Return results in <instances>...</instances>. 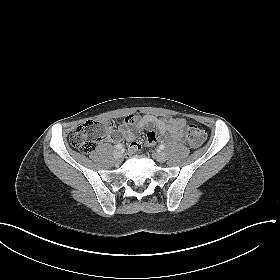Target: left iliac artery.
Returning a JSON list of instances; mask_svg holds the SVG:
<instances>
[{
	"label": "left iliac artery",
	"mask_w": 280,
	"mask_h": 280,
	"mask_svg": "<svg viewBox=\"0 0 280 280\" xmlns=\"http://www.w3.org/2000/svg\"><path fill=\"white\" fill-rule=\"evenodd\" d=\"M164 148H165V145H163V144H161V145L159 146V149H161V150H164Z\"/></svg>",
	"instance_id": "44dca946"
}]
</instances>
